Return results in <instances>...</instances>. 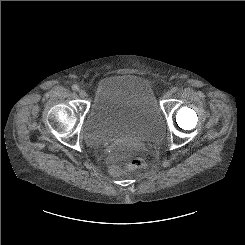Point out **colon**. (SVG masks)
Segmentation results:
<instances>
[{
    "mask_svg": "<svg viewBox=\"0 0 245 245\" xmlns=\"http://www.w3.org/2000/svg\"><path fill=\"white\" fill-rule=\"evenodd\" d=\"M122 150L125 152H135L137 148L131 144H123ZM147 163L143 158H134L125 165L114 164L110 167V173L112 175H120L124 171H139L146 168Z\"/></svg>",
    "mask_w": 245,
    "mask_h": 245,
    "instance_id": "5ec220e1",
    "label": "colon"
}]
</instances>
